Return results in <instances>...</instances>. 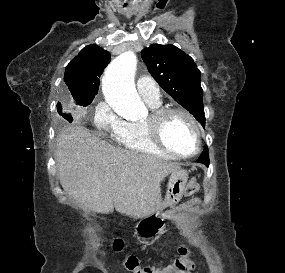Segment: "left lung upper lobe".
Masks as SVG:
<instances>
[{
    "mask_svg": "<svg viewBox=\"0 0 285 273\" xmlns=\"http://www.w3.org/2000/svg\"><path fill=\"white\" fill-rule=\"evenodd\" d=\"M142 59L158 84L204 126L201 73L194 61L176 46L160 44L145 48Z\"/></svg>",
    "mask_w": 285,
    "mask_h": 273,
    "instance_id": "obj_1",
    "label": "left lung upper lobe"
}]
</instances>
